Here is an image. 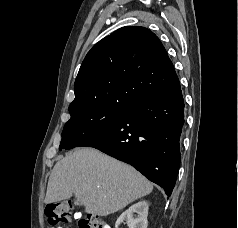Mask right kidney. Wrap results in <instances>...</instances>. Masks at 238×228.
<instances>
[{"label":"right kidney","mask_w":238,"mask_h":228,"mask_svg":"<svg viewBox=\"0 0 238 228\" xmlns=\"http://www.w3.org/2000/svg\"><path fill=\"white\" fill-rule=\"evenodd\" d=\"M148 209L149 205L147 201H140L132 205L117 219L115 228H119V225L124 221L127 223L129 228H147Z\"/></svg>","instance_id":"obj_1"}]
</instances>
